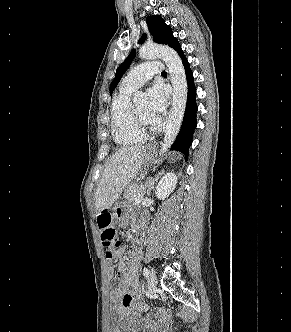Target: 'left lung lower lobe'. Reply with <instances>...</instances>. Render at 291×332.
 Returning a JSON list of instances; mask_svg holds the SVG:
<instances>
[{
    "label": "left lung lower lobe",
    "instance_id": "left-lung-lower-lobe-1",
    "mask_svg": "<svg viewBox=\"0 0 291 332\" xmlns=\"http://www.w3.org/2000/svg\"><path fill=\"white\" fill-rule=\"evenodd\" d=\"M177 53L180 55L182 64L185 69L188 84V95L182 126L171 149L183 153L186 158H188L189 148L192 144L193 133L197 126L196 113L198 107L196 104V87L194 85L193 73L190 69L188 60L183 53V50L179 49Z\"/></svg>",
    "mask_w": 291,
    "mask_h": 332
}]
</instances>
